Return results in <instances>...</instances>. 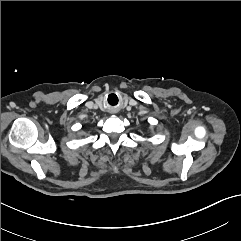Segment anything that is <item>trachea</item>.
Masks as SVG:
<instances>
[{
    "mask_svg": "<svg viewBox=\"0 0 241 241\" xmlns=\"http://www.w3.org/2000/svg\"><path fill=\"white\" fill-rule=\"evenodd\" d=\"M107 101L109 102V104L111 105H116L119 102V96L116 93H110L107 96Z\"/></svg>",
    "mask_w": 241,
    "mask_h": 241,
    "instance_id": "obj_1",
    "label": "trachea"
}]
</instances>
